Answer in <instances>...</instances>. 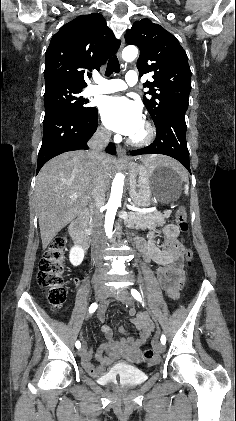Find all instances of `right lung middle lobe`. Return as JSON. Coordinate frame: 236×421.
<instances>
[{
	"instance_id": "obj_1",
	"label": "right lung middle lobe",
	"mask_w": 236,
	"mask_h": 421,
	"mask_svg": "<svg viewBox=\"0 0 236 421\" xmlns=\"http://www.w3.org/2000/svg\"><path fill=\"white\" fill-rule=\"evenodd\" d=\"M81 92L82 89L62 88L58 86L46 87L44 94V118L59 113L84 116L90 112L93 107L85 106L88 101L79 95Z\"/></svg>"
}]
</instances>
